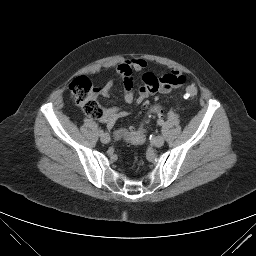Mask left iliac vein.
<instances>
[{"instance_id":"4c4485c4","label":"left iliac vein","mask_w":256,"mask_h":256,"mask_svg":"<svg viewBox=\"0 0 256 256\" xmlns=\"http://www.w3.org/2000/svg\"><path fill=\"white\" fill-rule=\"evenodd\" d=\"M163 144H164V138L162 136L159 135L154 138L153 145L155 147H161V146H163Z\"/></svg>"}]
</instances>
